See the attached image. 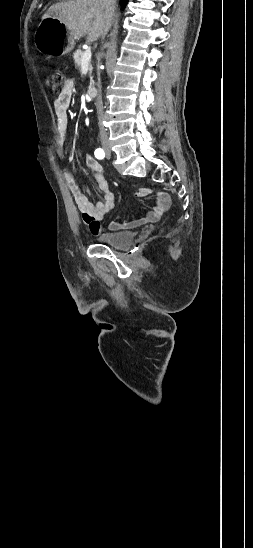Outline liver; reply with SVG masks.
I'll list each match as a JSON object with an SVG mask.
<instances>
[{"instance_id": "liver-1", "label": "liver", "mask_w": 253, "mask_h": 548, "mask_svg": "<svg viewBox=\"0 0 253 548\" xmlns=\"http://www.w3.org/2000/svg\"><path fill=\"white\" fill-rule=\"evenodd\" d=\"M54 17L63 23L74 38L88 35L89 41H96L106 26L101 0H70L53 4L43 19Z\"/></svg>"}]
</instances>
